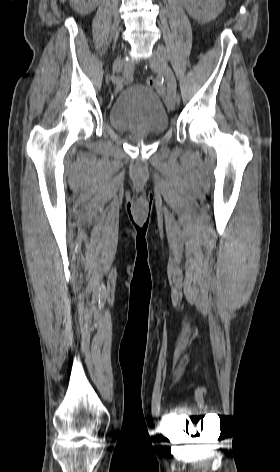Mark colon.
Instances as JSON below:
<instances>
[{
	"label": "colon",
	"mask_w": 280,
	"mask_h": 472,
	"mask_svg": "<svg viewBox=\"0 0 280 472\" xmlns=\"http://www.w3.org/2000/svg\"><path fill=\"white\" fill-rule=\"evenodd\" d=\"M147 84L150 86V87H158L159 86V81L158 79H156L155 77H149L147 78Z\"/></svg>",
	"instance_id": "obj_1"
}]
</instances>
